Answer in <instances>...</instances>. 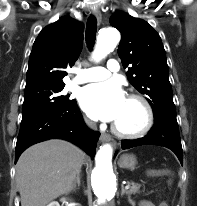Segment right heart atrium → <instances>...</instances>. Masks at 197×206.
<instances>
[{"mask_svg": "<svg viewBox=\"0 0 197 206\" xmlns=\"http://www.w3.org/2000/svg\"><path fill=\"white\" fill-rule=\"evenodd\" d=\"M87 123H88V124H90V121H89V120H87Z\"/></svg>", "mask_w": 197, "mask_h": 206, "instance_id": "1", "label": "right heart atrium"}]
</instances>
